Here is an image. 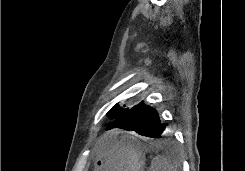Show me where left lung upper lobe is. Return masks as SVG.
Instances as JSON below:
<instances>
[{
  "label": "left lung upper lobe",
  "instance_id": "obj_1",
  "mask_svg": "<svg viewBox=\"0 0 245 171\" xmlns=\"http://www.w3.org/2000/svg\"><path fill=\"white\" fill-rule=\"evenodd\" d=\"M130 108L131 106H120L119 104L114 105L107 113V116L109 118L114 119V121L109 124V126L118 121L121 116L126 113Z\"/></svg>",
  "mask_w": 245,
  "mask_h": 171
}]
</instances>
